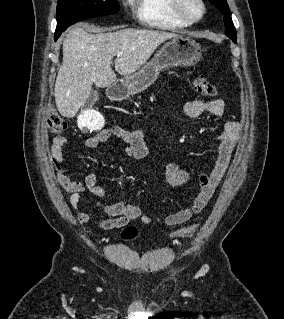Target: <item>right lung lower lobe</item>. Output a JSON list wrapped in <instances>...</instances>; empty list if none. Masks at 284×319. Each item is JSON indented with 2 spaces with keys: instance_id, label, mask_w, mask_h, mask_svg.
<instances>
[{
  "instance_id": "right-lung-lower-lobe-1",
  "label": "right lung lower lobe",
  "mask_w": 284,
  "mask_h": 319,
  "mask_svg": "<svg viewBox=\"0 0 284 319\" xmlns=\"http://www.w3.org/2000/svg\"><path fill=\"white\" fill-rule=\"evenodd\" d=\"M59 37V36H58ZM57 36H55V40L58 38Z\"/></svg>"
}]
</instances>
